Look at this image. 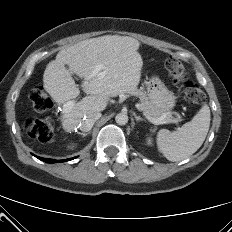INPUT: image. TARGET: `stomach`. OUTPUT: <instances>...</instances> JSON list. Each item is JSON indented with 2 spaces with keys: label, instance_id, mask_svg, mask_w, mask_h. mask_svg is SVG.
Returning a JSON list of instances; mask_svg holds the SVG:
<instances>
[{
  "label": "stomach",
  "instance_id": "obj_1",
  "mask_svg": "<svg viewBox=\"0 0 232 232\" xmlns=\"http://www.w3.org/2000/svg\"><path fill=\"white\" fill-rule=\"evenodd\" d=\"M150 101L162 112L172 110L176 104V97L169 91L163 82L156 80L150 82L147 87Z\"/></svg>",
  "mask_w": 232,
  "mask_h": 232
}]
</instances>
